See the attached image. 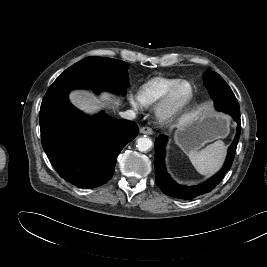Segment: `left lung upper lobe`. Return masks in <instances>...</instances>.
<instances>
[{"label":"left lung upper lobe","mask_w":267,"mask_h":267,"mask_svg":"<svg viewBox=\"0 0 267 267\" xmlns=\"http://www.w3.org/2000/svg\"><path fill=\"white\" fill-rule=\"evenodd\" d=\"M204 83L216 107L219 105L226 106V103H228L230 99H236L232 90L218 73L209 71L204 75Z\"/></svg>","instance_id":"1"}]
</instances>
